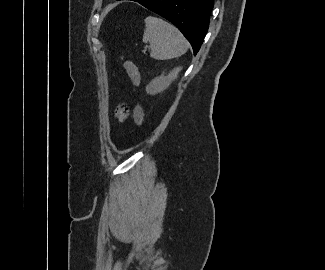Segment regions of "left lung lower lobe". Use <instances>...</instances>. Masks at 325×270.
<instances>
[{
  "instance_id": "1",
  "label": "left lung lower lobe",
  "mask_w": 325,
  "mask_h": 270,
  "mask_svg": "<svg viewBox=\"0 0 325 270\" xmlns=\"http://www.w3.org/2000/svg\"><path fill=\"white\" fill-rule=\"evenodd\" d=\"M173 23L199 51L209 27L214 0H132Z\"/></svg>"
}]
</instances>
